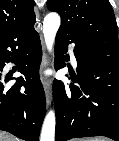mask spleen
Masks as SVG:
<instances>
[{"label":"spleen","mask_w":119,"mask_h":141,"mask_svg":"<svg viewBox=\"0 0 119 141\" xmlns=\"http://www.w3.org/2000/svg\"><path fill=\"white\" fill-rule=\"evenodd\" d=\"M86 141H104L100 138H90V139H87Z\"/></svg>","instance_id":"1"}]
</instances>
